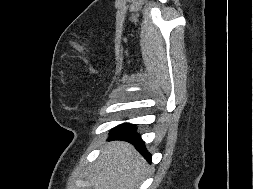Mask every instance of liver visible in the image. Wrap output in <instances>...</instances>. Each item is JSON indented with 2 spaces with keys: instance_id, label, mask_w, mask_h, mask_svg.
Returning a JSON list of instances; mask_svg holds the SVG:
<instances>
[{
  "instance_id": "obj_1",
  "label": "liver",
  "mask_w": 253,
  "mask_h": 189,
  "mask_svg": "<svg viewBox=\"0 0 253 189\" xmlns=\"http://www.w3.org/2000/svg\"><path fill=\"white\" fill-rule=\"evenodd\" d=\"M147 168L146 161L131 144L109 142L95 165L94 189H135Z\"/></svg>"
}]
</instances>
